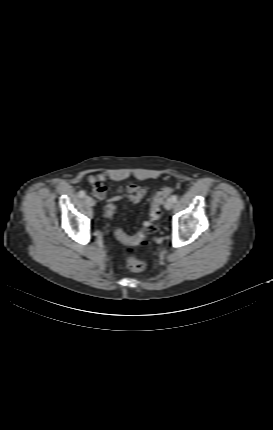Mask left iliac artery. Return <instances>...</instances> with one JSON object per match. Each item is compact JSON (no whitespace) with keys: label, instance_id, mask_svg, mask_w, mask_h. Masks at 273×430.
<instances>
[{"label":"left iliac artery","instance_id":"1","mask_svg":"<svg viewBox=\"0 0 273 430\" xmlns=\"http://www.w3.org/2000/svg\"><path fill=\"white\" fill-rule=\"evenodd\" d=\"M172 200H173V202H176L177 201V198H178V196L176 195V194H174V195H172Z\"/></svg>","mask_w":273,"mask_h":430}]
</instances>
